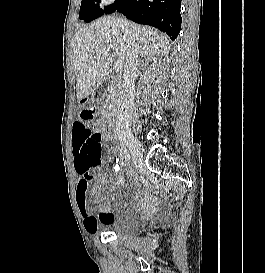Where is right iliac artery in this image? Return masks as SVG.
<instances>
[{
    "mask_svg": "<svg viewBox=\"0 0 265 273\" xmlns=\"http://www.w3.org/2000/svg\"><path fill=\"white\" fill-rule=\"evenodd\" d=\"M120 156L122 158H124L125 160H130V158H131V155H130V153H129V151L127 149L121 150L120 151Z\"/></svg>",
    "mask_w": 265,
    "mask_h": 273,
    "instance_id": "right-iliac-artery-1",
    "label": "right iliac artery"
}]
</instances>
